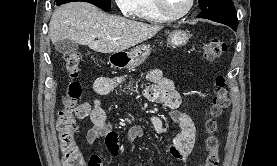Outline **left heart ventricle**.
I'll use <instances>...</instances> for the list:
<instances>
[{
  "label": "left heart ventricle",
  "mask_w": 277,
  "mask_h": 166,
  "mask_svg": "<svg viewBox=\"0 0 277 166\" xmlns=\"http://www.w3.org/2000/svg\"><path fill=\"white\" fill-rule=\"evenodd\" d=\"M166 7L171 13H179L185 9L188 0H165Z\"/></svg>",
  "instance_id": "1"
}]
</instances>
